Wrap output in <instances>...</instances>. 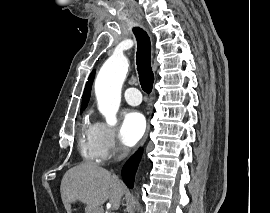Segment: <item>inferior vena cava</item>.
<instances>
[{"instance_id":"1","label":"inferior vena cava","mask_w":270,"mask_h":213,"mask_svg":"<svg viewBox=\"0 0 270 213\" xmlns=\"http://www.w3.org/2000/svg\"><path fill=\"white\" fill-rule=\"evenodd\" d=\"M128 154V149L127 148H122V152L120 153L118 160H122L124 159Z\"/></svg>"}]
</instances>
